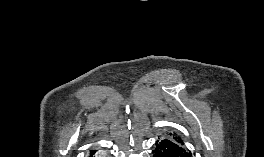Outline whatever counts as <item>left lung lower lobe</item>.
I'll use <instances>...</instances> for the list:
<instances>
[{
	"label": "left lung lower lobe",
	"instance_id": "0a47b994",
	"mask_svg": "<svg viewBox=\"0 0 264 157\" xmlns=\"http://www.w3.org/2000/svg\"><path fill=\"white\" fill-rule=\"evenodd\" d=\"M155 145V149L152 150V157H192L180 145L167 138L157 140Z\"/></svg>",
	"mask_w": 264,
	"mask_h": 157
}]
</instances>
